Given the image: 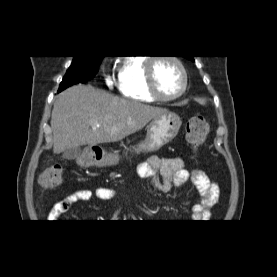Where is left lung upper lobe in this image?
I'll return each mask as SVG.
<instances>
[{"label": "left lung upper lobe", "instance_id": "1", "mask_svg": "<svg viewBox=\"0 0 277 277\" xmlns=\"http://www.w3.org/2000/svg\"><path fill=\"white\" fill-rule=\"evenodd\" d=\"M186 58L189 59V60L194 61L193 56H191V57H186Z\"/></svg>", "mask_w": 277, "mask_h": 277}]
</instances>
